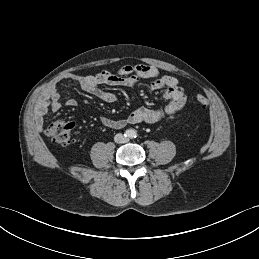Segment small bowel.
Returning <instances> with one entry per match:
<instances>
[{
    "mask_svg": "<svg viewBox=\"0 0 259 259\" xmlns=\"http://www.w3.org/2000/svg\"><path fill=\"white\" fill-rule=\"evenodd\" d=\"M65 79L78 83L82 90L106 103H114L117 97L113 92L102 89L101 86L103 85L136 88L141 79H151V90H163L164 98L169 102L162 108L147 109L139 107L126 118L117 120L101 117L102 125L114 129H121L127 124L158 123L182 109L187 101L186 93L175 77L160 75L159 70L150 65H125L116 73L101 71L89 75L68 74L65 76ZM66 104L72 107L79 106V102L74 99L68 100ZM61 106L59 90L56 87L50 88L36 109L34 118L35 130L42 131L46 114L50 110H59Z\"/></svg>",
    "mask_w": 259,
    "mask_h": 259,
    "instance_id": "1",
    "label": "small bowel"
}]
</instances>
